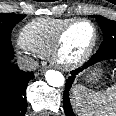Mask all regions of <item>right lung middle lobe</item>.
<instances>
[{"instance_id": "1", "label": "right lung middle lobe", "mask_w": 116, "mask_h": 116, "mask_svg": "<svg viewBox=\"0 0 116 116\" xmlns=\"http://www.w3.org/2000/svg\"><path fill=\"white\" fill-rule=\"evenodd\" d=\"M25 18L22 14L0 13V60L11 52V32Z\"/></svg>"}]
</instances>
